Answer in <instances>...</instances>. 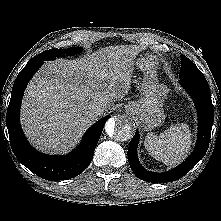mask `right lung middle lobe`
Masks as SVG:
<instances>
[{"mask_svg": "<svg viewBox=\"0 0 221 221\" xmlns=\"http://www.w3.org/2000/svg\"><path fill=\"white\" fill-rule=\"evenodd\" d=\"M81 48H68V49H50L47 50L45 52H42L40 54H38L37 56H35L33 59L31 60H54L57 57H61V56H73L75 54H78L81 52Z\"/></svg>", "mask_w": 221, "mask_h": 221, "instance_id": "1", "label": "right lung middle lobe"}]
</instances>
